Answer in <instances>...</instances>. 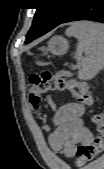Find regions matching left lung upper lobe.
<instances>
[{"instance_id": "obj_1", "label": "left lung upper lobe", "mask_w": 104, "mask_h": 169, "mask_svg": "<svg viewBox=\"0 0 104 169\" xmlns=\"http://www.w3.org/2000/svg\"><path fill=\"white\" fill-rule=\"evenodd\" d=\"M54 7L38 8L27 38L41 31H50L58 26L76 7L78 0H48Z\"/></svg>"}]
</instances>
